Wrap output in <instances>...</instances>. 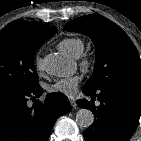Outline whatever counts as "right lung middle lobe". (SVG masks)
Returning a JSON list of instances; mask_svg holds the SVG:
<instances>
[{"instance_id": "dd1d6c3e", "label": "right lung middle lobe", "mask_w": 141, "mask_h": 141, "mask_svg": "<svg viewBox=\"0 0 141 141\" xmlns=\"http://www.w3.org/2000/svg\"><path fill=\"white\" fill-rule=\"evenodd\" d=\"M48 38L22 26L0 31V88L30 90L39 86L34 55Z\"/></svg>"}]
</instances>
